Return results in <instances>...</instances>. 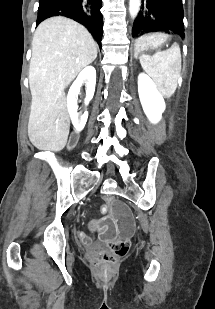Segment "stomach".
Masks as SVG:
<instances>
[{
    "instance_id": "1",
    "label": "stomach",
    "mask_w": 215,
    "mask_h": 309,
    "mask_svg": "<svg viewBox=\"0 0 215 309\" xmlns=\"http://www.w3.org/2000/svg\"><path fill=\"white\" fill-rule=\"evenodd\" d=\"M171 38L166 33L156 32L140 36L135 40L134 53L135 55H141L145 52L157 51L164 45H168ZM172 47H176L173 45Z\"/></svg>"
}]
</instances>
